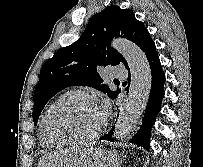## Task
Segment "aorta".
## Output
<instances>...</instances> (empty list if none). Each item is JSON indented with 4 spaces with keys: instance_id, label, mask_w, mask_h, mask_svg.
<instances>
[{
    "instance_id": "1",
    "label": "aorta",
    "mask_w": 203,
    "mask_h": 167,
    "mask_svg": "<svg viewBox=\"0 0 203 167\" xmlns=\"http://www.w3.org/2000/svg\"><path fill=\"white\" fill-rule=\"evenodd\" d=\"M112 46L126 59L131 72L129 94L114 130V137L123 140L139 123L150 94L152 76L147 57L137 45L119 38L112 42Z\"/></svg>"
}]
</instances>
